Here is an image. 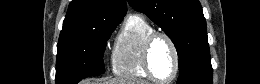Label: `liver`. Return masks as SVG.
<instances>
[{"label": "liver", "mask_w": 260, "mask_h": 84, "mask_svg": "<svg viewBox=\"0 0 260 84\" xmlns=\"http://www.w3.org/2000/svg\"><path fill=\"white\" fill-rule=\"evenodd\" d=\"M82 84H148L146 81H134V80H126V79H113L110 81H105L104 83L93 82L90 80L83 81Z\"/></svg>", "instance_id": "1"}]
</instances>
